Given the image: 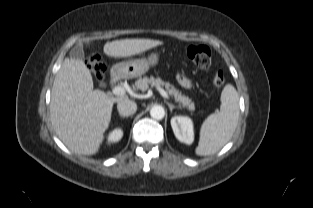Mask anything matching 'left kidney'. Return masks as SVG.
Instances as JSON below:
<instances>
[{
  "mask_svg": "<svg viewBox=\"0 0 313 208\" xmlns=\"http://www.w3.org/2000/svg\"><path fill=\"white\" fill-rule=\"evenodd\" d=\"M171 126L175 137L185 144H192L194 140L193 122L187 116H174L171 119Z\"/></svg>",
  "mask_w": 313,
  "mask_h": 208,
  "instance_id": "left-kidney-1",
  "label": "left kidney"
}]
</instances>
